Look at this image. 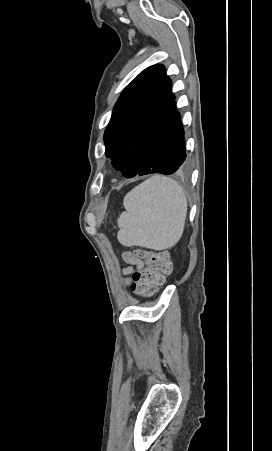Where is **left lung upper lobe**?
I'll list each match as a JSON object with an SVG mask.
<instances>
[{
  "mask_svg": "<svg viewBox=\"0 0 272 451\" xmlns=\"http://www.w3.org/2000/svg\"><path fill=\"white\" fill-rule=\"evenodd\" d=\"M174 99L171 80L160 64L143 70L122 92L104 141L106 157L124 177L137 174L155 128Z\"/></svg>",
  "mask_w": 272,
  "mask_h": 451,
  "instance_id": "5c2ea615",
  "label": "left lung upper lobe"
}]
</instances>
